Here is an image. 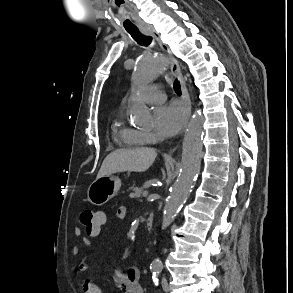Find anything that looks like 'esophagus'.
I'll list each match as a JSON object with an SVG mask.
<instances>
[{
	"label": "esophagus",
	"instance_id": "esophagus-1",
	"mask_svg": "<svg viewBox=\"0 0 293 293\" xmlns=\"http://www.w3.org/2000/svg\"><path fill=\"white\" fill-rule=\"evenodd\" d=\"M140 29L144 34L152 36L157 41V43L162 48V50L169 55V58L171 60V71L174 74V76L178 78L181 84L182 98L185 102L186 110H187V120L185 123V126H186L191 116V101H190L189 93H188L180 66L177 60L171 55L169 46L161 40L159 33L155 30V28L152 25L145 24L141 26Z\"/></svg>",
	"mask_w": 293,
	"mask_h": 293
}]
</instances>
